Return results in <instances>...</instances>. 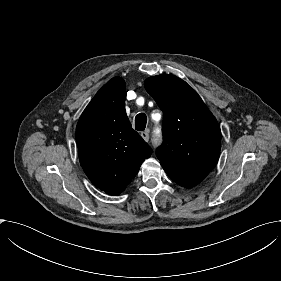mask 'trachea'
I'll use <instances>...</instances> for the list:
<instances>
[{
  "label": "trachea",
  "instance_id": "obj_1",
  "mask_svg": "<svg viewBox=\"0 0 281 281\" xmlns=\"http://www.w3.org/2000/svg\"><path fill=\"white\" fill-rule=\"evenodd\" d=\"M147 117L144 113H140L135 117V129L137 131H144L146 128Z\"/></svg>",
  "mask_w": 281,
  "mask_h": 281
}]
</instances>
